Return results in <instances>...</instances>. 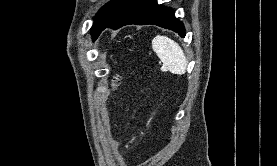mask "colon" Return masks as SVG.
I'll return each mask as SVG.
<instances>
[{
  "label": "colon",
  "instance_id": "1",
  "mask_svg": "<svg viewBox=\"0 0 277 166\" xmlns=\"http://www.w3.org/2000/svg\"><path fill=\"white\" fill-rule=\"evenodd\" d=\"M119 82H120V77L117 75V76H115L114 79H113V85L116 86V85L119 84Z\"/></svg>",
  "mask_w": 277,
  "mask_h": 166
}]
</instances>
